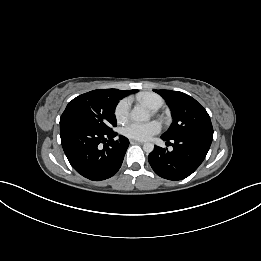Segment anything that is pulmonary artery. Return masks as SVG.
<instances>
[{"label":"pulmonary artery","mask_w":261,"mask_h":261,"mask_svg":"<svg viewBox=\"0 0 261 261\" xmlns=\"http://www.w3.org/2000/svg\"><path fill=\"white\" fill-rule=\"evenodd\" d=\"M160 106H157L155 109H158Z\"/></svg>","instance_id":"obj_1"}]
</instances>
